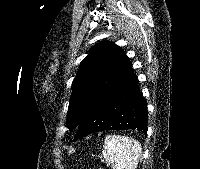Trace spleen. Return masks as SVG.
<instances>
[{"label":"spleen","mask_w":200,"mask_h":169,"mask_svg":"<svg viewBox=\"0 0 200 169\" xmlns=\"http://www.w3.org/2000/svg\"><path fill=\"white\" fill-rule=\"evenodd\" d=\"M102 155L112 169H136L142 152L141 144L128 136L105 137Z\"/></svg>","instance_id":"3e777b00"}]
</instances>
